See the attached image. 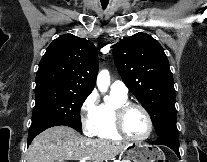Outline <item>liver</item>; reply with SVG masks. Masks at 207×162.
<instances>
[{
  "mask_svg": "<svg viewBox=\"0 0 207 162\" xmlns=\"http://www.w3.org/2000/svg\"><path fill=\"white\" fill-rule=\"evenodd\" d=\"M127 143L80 136L68 126H54L40 133L30 144L27 162L64 160L108 161L125 150Z\"/></svg>",
  "mask_w": 207,
  "mask_h": 162,
  "instance_id": "liver-1",
  "label": "liver"
}]
</instances>
